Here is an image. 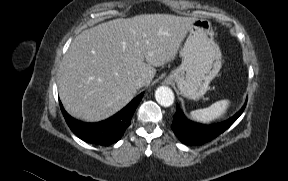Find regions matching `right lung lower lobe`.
<instances>
[{
  "label": "right lung lower lobe",
  "mask_w": 288,
  "mask_h": 181,
  "mask_svg": "<svg viewBox=\"0 0 288 181\" xmlns=\"http://www.w3.org/2000/svg\"><path fill=\"white\" fill-rule=\"evenodd\" d=\"M144 93L138 95L124 109L111 118L98 123H85L71 117L64 110L61 102L60 107L66 123L71 131L87 143L101 146L111 145L121 139L131 123L132 116L140 103Z\"/></svg>",
  "instance_id": "right-lung-lower-lobe-1"
}]
</instances>
